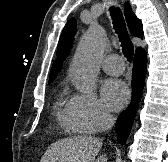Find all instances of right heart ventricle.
<instances>
[{
  "instance_id": "obj_1",
  "label": "right heart ventricle",
  "mask_w": 168,
  "mask_h": 162,
  "mask_svg": "<svg viewBox=\"0 0 168 162\" xmlns=\"http://www.w3.org/2000/svg\"><path fill=\"white\" fill-rule=\"evenodd\" d=\"M68 105V104H67ZM67 105L63 106L62 105V98H59L56 102V114L59 119V121L68 127L71 132L76 133V134H82L85 133L83 130H81L78 126L74 125L68 116V110H67Z\"/></svg>"
}]
</instances>
